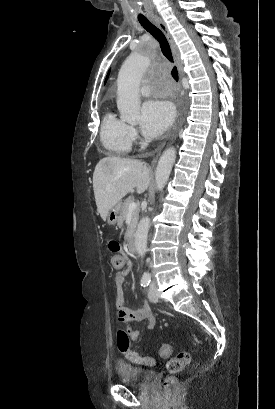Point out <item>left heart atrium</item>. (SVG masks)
I'll list each match as a JSON object with an SVG mask.
<instances>
[{
	"mask_svg": "<svg viewBox=\"0 0 275 409\" xmlns=\"http://www.w3.org/2000/svg\"><path fill=\"white\" fill-rule=\"evenodd\" d=\"M173 116V107L169 102L149 100L142 108V129L148 136H159L169 127Z\"/></svg>",
	"mask_w": 275,
	"mask_h": 409,
	"instance_id": "39dd6f15",
	"label": "left heart atrium"
}]
</instances>
